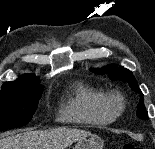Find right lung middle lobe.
<instances>
[{
	"mask_svg": "<svg viewBox=\"0 0 155 149\" xmlns=\"http://www.w3.org/2000/svg\"><path fill=\"white\" fill-rule=\"evenodd\" d=\"M38 82L4 83L0 92V131L30 122L44 88Z\"/></svg>",
	"mask_w": 155,
	"mask_h": 149,
	"instance_id": "obj_1",
	"label": "right lung middle lobe"
}]
</instances>
